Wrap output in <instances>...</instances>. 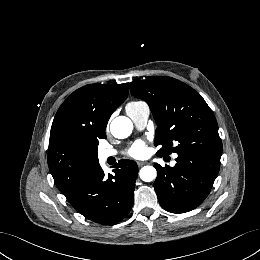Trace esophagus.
I'll use <instances>...</instances> for the list:
<instances>
[{
	"label": "esophagus",
	"mask_w": 260,
	"mask_h": 260,
	"mask_svg": "<svg viewBox=\"0 0 260 260\" xmlns=\"http://www.w3.org/2000/svg\"><path fill=\"white\" fill-rule=\"evenodd\" d=\"M145 164H147V162H143V161H138V162H137V165H138L139 167H141V166H143V165H145Z\"/></svg>",
	"instance_id": "esophagus-1"
}]
</instances>
